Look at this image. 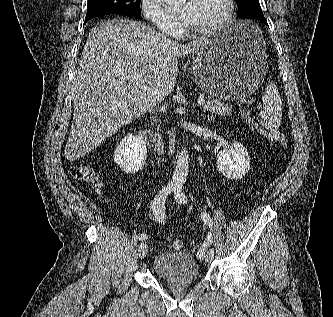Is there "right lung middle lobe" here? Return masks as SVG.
<instances>
[{
    "mask_svg": "<svg viewBox=\"0 0 333 317\" xmlns=\"http://www.w3.org/2000/svg\"><path fill=\"white\" fill-rule=\"evenodd\" d=\"M141 0H88L87 19L103 14H123L140 17Z\"/></svg>",
    "mask_w": 333,
    "mask_h": 317,
    "instance_id": "right-lung-middle-lobe-1",
    "label": "right lung middle lobe"
}]
</instances>
